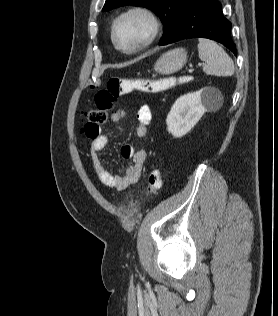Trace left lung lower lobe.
<instances>
[{
  "mask_svg": "<svg viewBox=\"0 0 278 316\" xmlns=\"http://www.w3.org/2000/svg\"><path fill=\"white\" fill-rule=\"evenodd\" d=\"M208 38L223 44L236 55L231 23L216 0H188L171 35L160 45L190 38Z\"/></svg>",
  "mask_w": 278,
  "mask_h": 316,
  "instance_id": "left-lung-lower-lobe-1",
  "label": "left lung lower lobe"
}]
</instances>
